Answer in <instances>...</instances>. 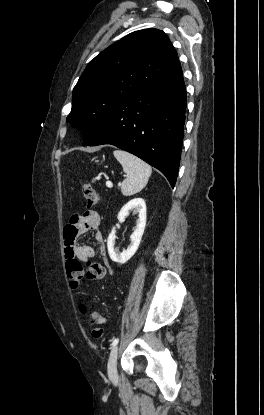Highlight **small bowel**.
Here are the masks:
<instances>
[{"label": "small bowel", "mask_w": 264, "mask_h": 415, "mask_svg": "<svg viewBox=\"0 0 264 415\" xmlns=\"http://www.w3.org/2000/svg\"><path fill=\"white\" fill-rule=\"evenodd\" d=\"M90 230L94 231L100 256L105 258L106 247L103 235L99 230V214L95 211H91L84 217L78 215L70 217L69 225L64 233V257L67 262L78 261L85 263L95 257V249L91 245L77 242L79 236L86 234Z\"/></svg>", "instance_id": "1"}]
</instances>
